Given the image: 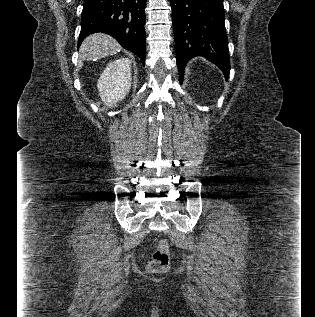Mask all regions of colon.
I'll use <instances>...</instances> for the list:
<instances>
[{"instance_id":"colon-1","label":"colon","mask_w":315,"mask_h":317,"mask_svg":"<svg viewBox=\"0 0 315 317\" xmlns=\"http://www.w3.org/2000/svg\"><path fill=\"white\" fill-rule=\"evenodd\" d=\"M170 248L166 240H159L156 244L152 259L147 265V270L150 273H163L170 265Z\"/></svg>"}]
</instances>
